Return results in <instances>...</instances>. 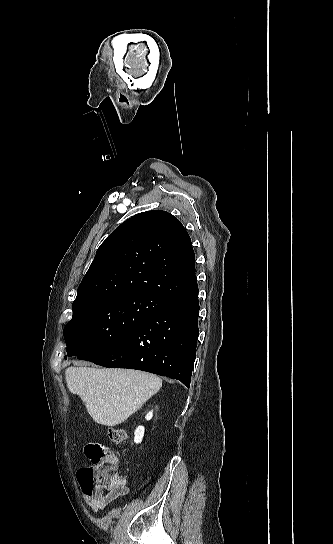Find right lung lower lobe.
Instances as JSON below:
<instances>
[{
  "label": "right lung lower lobe",
  "mask_w": 333,
  "mask_h": 544,
  "mask_svg": "<svg viewBox=\"0 0 333 544\" xmlns=\"http://www.w3.org/2000/svg\"><path fill=\"white\" fill-rule=\"evenodd\" d=\"M198 286L166 300L136 330L87 354L105 367L131 368L178 379L187 387L196 358Z\"/></svg>",
  "instance_id": "obj_1"
}]
</instances>
